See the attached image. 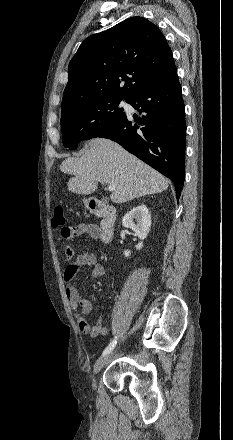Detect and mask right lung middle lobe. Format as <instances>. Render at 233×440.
<instances>
[{"mask_svg":"<svg viewBox=\"0 0 233 440\" xmlns=\"http://www.w3.org/2000/svg\"><path fill=\"white\" fill-rule=\"evenodd\" d=\"M122 98H95L77 102L61 109L62 141L73 150L78 143L100 137L124 115L119 103ZM128 102V99H124Z\"/></svg>","mask_w":233,"mask_h":440,"instance_id":"right-lung-middle-lobe-1","label":"right lung middle lobe"}]
</instances>
